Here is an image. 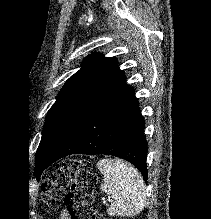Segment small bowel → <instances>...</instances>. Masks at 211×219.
I'll return each mask as SVG.
<instances>
[{"label": "small bowel", "instance_id": "small-bowel-1", "mask_svg": "<svg viewBox=\"0 0 211 219\" xmlns=\"http://www.w3.org/2000/svg\"><path fill=\"white\" fill-rule=\"evenodd\" d=\"M62 219H68V218H67V215L64 214L63 217H62Z\"/></svg>", "mask_w": 211, "mask_h": 219}]
</instances>
